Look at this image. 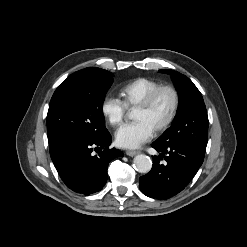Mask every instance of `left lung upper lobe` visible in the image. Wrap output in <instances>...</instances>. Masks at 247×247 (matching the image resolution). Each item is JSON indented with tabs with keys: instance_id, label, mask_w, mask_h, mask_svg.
I'll list each match as a JSON object with an SVG mask.
<instances>
[{
	"instance_id": "1",
	"label": "left lung upper lobe",
	"mask_w": 247,
	"mask_h": 247,
	"mask_svg": "<svg viewBox=\"0 0 247 247\" xmlns=\"http://www.w3.org/2000/svg\"><path fill=\"white\" fill-rule=\"evenodd\" d=\"M170 74L179 95V106L172 126L156 141L164 144L190 142L206 149L208 116L200 91L185 75L173 70H159Z\"/></svg>"
}]
</instances>
